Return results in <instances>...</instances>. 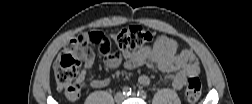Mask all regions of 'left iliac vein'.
Masks as SVG:
<instances>
[{"label": "left iliac vein", "mask_w": 252, "mask_h": 104, "mask_svg": "<svg viewBox=\"0 0 252 104\" xmlns=\"http://www.w3.org/2000/svg\"><path fill=\"white\" fill-rule=\"evenodd\" d=\"M131 97H136V94H135V93H133V94L131 95Z\"/></svg>", "instance_id": "obj_1"}]
</instances>
